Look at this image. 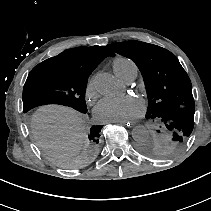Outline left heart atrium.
<instances>
[{
  "label": "left heart atrium",
  "mask_w": 211,
  "mask_h": 211,
  "mask_svg": "<svg viewBox=\"0 0 211 211\" xmlns=\"http://www.w3.org/2000/svg\"><path fill=\"white\" fill-rule=\"evenodd\" d=\"M143 101L134 95L104 97L94 108V115L100 122H114L139 118L144 114Z\"/></svg>",
  "instance_id": "39dd6f15"
}]
</instances>
